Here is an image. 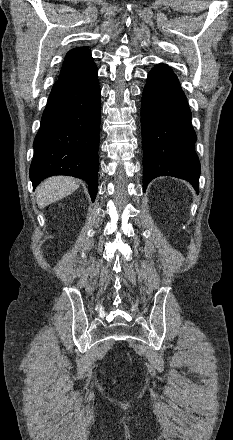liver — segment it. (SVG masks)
I'll use <instances>...</instances> for the list:
<instances>
[{"mask_svg":"<svg viewBox=\"0 0 233 440\" xmlns=\"http://www.w3.org/2000/svg\"><path fill=\"white\" fill-rule=\"evenodd\" d=\"M80 181L73 177L55 176L44 180L36 189V200L39 208L58 201L79 188Z\"/></svg>","mask_w":233,"mask_h":440,"instance_id":"obj_1","label":"liver"}]
</instances>
